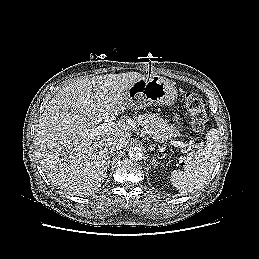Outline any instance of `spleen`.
<instances>
[{"instance_id": "3e777b00", "label": "spleen", "mask_w": 259, "mask_h": 259, "mask_svg": "<svg viewBox=\"0 0 259 259\" xmlns=\"http://www.w3.org/2000/svg\"><path fill=\"white\" fill-rule=\"evenodd\" d=\"M219 149V131L211 129L206 134L205 145L187 155L184 171L171 172L172 185L181 193L194 192L203 187L210 179L217 164Z\"/></svg>"}]
</instances>
